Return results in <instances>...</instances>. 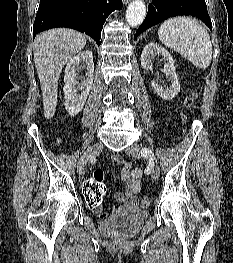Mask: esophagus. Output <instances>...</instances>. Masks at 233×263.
<instances>
[{
	"label": "esophagus",
	"mask_w": 233,
	"mask_h": 263,
	"mask_svg": "<svg viewBox=\"0 0 233 263\" xmlns=\"http://www.w3.org/2000/svg\"><path fill=\"white\" fill-rule=\"evenodd\" d=\"M130 0H123V4L127 5L129 3Z\"/></svg>",
	"instance_id": "34e87169"
}]
</instances>
